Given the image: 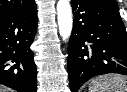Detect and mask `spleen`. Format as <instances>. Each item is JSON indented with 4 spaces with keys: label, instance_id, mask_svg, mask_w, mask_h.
<instances>
[{
    "label": "spleen",
    "instance_id": "1",
    "mask_svg": "<svg viewBox=\"0 0 127 92\" xmlns=\"http://www.w3.org/2000/svg\"><path fill=\"white\" fill-rule=\"evenodd\" d=\"M89 92H127V77L122 75H103L93 79Z\"/></svg>",
    "mask_w": 127,
    "mask_h": 92
}]
</instances>
